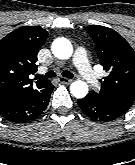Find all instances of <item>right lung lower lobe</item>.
Returning a JSON list of instances; mask_svg holds the SVG:
<instances>
[{
    "instance_id": "1",
    "label": "right lung lower lobe",
    "mask_w": 135,
    "mask_h": 165,
    "mask_svg": "<svg viewBox=\"0 0 135 165\" xmlns=\"http://www.w3.org/2000/svg\"><path fill=\"white\" fill-rule=\"evenodd\" d=\"M53 85L44 93L17 92L0 98V115L8 121L25 123L38 117L48 105Z\"/></svg>"
}]
</instances>
